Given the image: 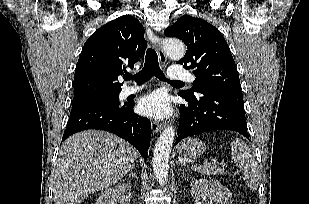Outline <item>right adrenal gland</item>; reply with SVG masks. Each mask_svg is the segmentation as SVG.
Here are the masks:
<instances>
[{"label": "right adrenal gland", "instance_id": "obj_1", "mask_svg": "<svg viewBox=\"0 0 309 204\" xmlns=\"http://www.w3.org/2000/svg\"><path fill=\"white\" fill-rule=\"evenodd\" d=\"M129 177H134L135 179H138L137 178V175L135 174V171H134V168H132L131 170H130V173H129V175H128Z\"/></svg>", "mask_w": 309, "mask_h": 204}]
</instances>
